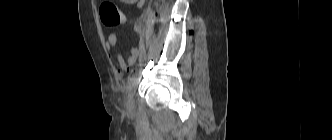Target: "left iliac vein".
<instances>
[{
    "label": "left iliac vein",
    "instance_id": "left-iliac-vein-1",
    "mask_svg": "<svg viewBox=\"0 0 332 140\" xmlns=\"http://www.w3.org/2000/svg\"><path fill=\"white\" fill-rule=\"evenodd\" d=\"M134 92L130 91V93L128 94V97L126 99V110L129 113H132L135 111V102H134Z\"/></svg>",
    "mask_w": 332,
    "mask_h": 140
}]
</instances>
